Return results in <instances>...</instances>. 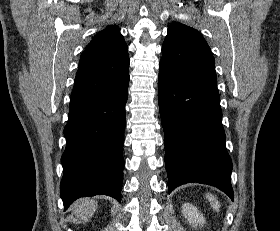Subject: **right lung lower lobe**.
Instances as JSON below:
<instances>
[{
	"instance_id": "right-lung-lower-lobe-1",
	"label": "right lung lower lobe",
	"mask_w": 280,
	"mask_h": 231,
	"mask_svg": "<svg viewBox=\"0 0 280 231\" xmlns=\"http://www.w3.org/2000/svg\"><path fill=\"white\" fill-rule=\"evenodd\" d=\"M128 86L87 102L70 105L64 128L61 198L66 210L80 197L108 195L120 202Z\"/></svg>"
}]
</instances>
